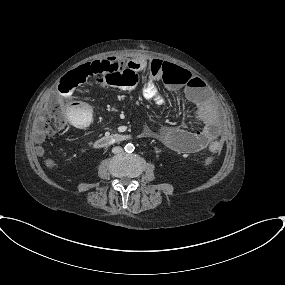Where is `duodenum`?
Here are the masks:
<instances>
[{
    "mask_svg": "<svg viewBox=\"0 0 285 285\" xmlns=\"http://www.w3.org/2000/svg\"><path fill=\"white\" fill-rule=\"evenodd\" d=\"M137 136L131 134H122V133H111L105 136H102L94 141V146L96 148H103L105 146H110L113 144L123 143L134 139ZM139 137V136H138Z\"/></svg>",
    "mask_w": 285,
    "mask_h": 285,
    "instance_id": "1",
    "label": "duodenum"
}]
</instances>
